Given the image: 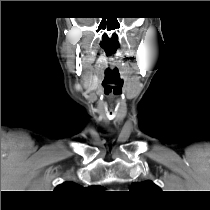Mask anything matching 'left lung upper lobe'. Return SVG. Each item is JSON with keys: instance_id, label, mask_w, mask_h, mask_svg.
Wrapping results in <instances>:
<instances>
[{"instance_id": "left-lung-upper-lobe-1", "label": "left lung upper lobe", "mask_w": 210, "mask_h": 210, "mask_svg": "<svg viewBox=\"0 0 210 210\" xmlns=\"http://www.w3.org/2000/svg\"><path fill=\"white\" fill-rule=\"evenodd\" d=\"M130 190L138 193H150L159 191L160 188L153 184L151 181H144L141 183H133Z\"/></svg>"}]
</instances>
